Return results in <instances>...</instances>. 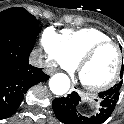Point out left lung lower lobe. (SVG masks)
Masks as SVG:
<instances>
[{
    "mask_svg": "<svg viewBox=\"0 0 124 124\" xmlns=\"http://www.w3.org/2000/svg\"><path fill=\"white\" fill-rule=\"evenodd\" d=\"M121 86V84H116L109 90L98 93L101 108L100 112L95 116L86 117L80 114L78 106L81 98L75 91L67 97L56 98L53 101L54 113L57 119L65 124H101L114 111L119 99Z\"/></svg>",
    "mask_w": 124,
    "mask_h": 124,
    "instance_id": "obj_1",
    "label": "left lung lower lobe"
}]
</instances>
